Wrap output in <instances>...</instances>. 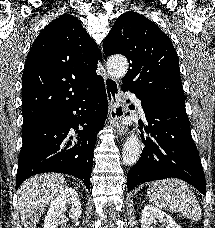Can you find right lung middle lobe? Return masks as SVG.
<instances>
[{"instance_id": "dd1d6c3e", "label": "right lung middle lobe", "mask_w": 215, "mask_h": 228, "mask_svg": "<svg viewBox=\"0 0 215 228\" xmlns=\"http://www.w3.org/2000/svg\"><path fill=\"white\" fill-rule=\"evenodd\" d=\"M31 124H23V128L22 129H25L27 127H29Z\"/></svg>"}]
</instances>
